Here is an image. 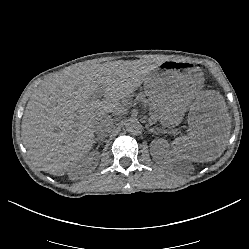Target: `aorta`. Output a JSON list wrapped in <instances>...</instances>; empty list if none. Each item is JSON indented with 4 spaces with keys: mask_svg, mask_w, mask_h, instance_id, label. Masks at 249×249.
Instances as JSON below:
<instances>
[{
    "mask_svg": "<svg viewBox=\"0 0 249 249\" xmlns=\"http://www.w3.org/2000/svg\"><path fill=\"white\" fill-rule=\"evenodd\" d=\"M125 128L128 132L134 133L140 129V122L136 118H129L125 122Z\"/></svg>",
    "mask_w": 249,
    "mask_h": 249,
    "instance_id": "aorta-1",
    "label": "aorta"
}]
</instances>
